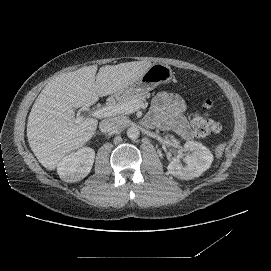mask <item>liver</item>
<instances>
[{
  "label": "liver",
  "instance_id": "obj_1",
  "mask_svg": "<svg viewBox=\"0 0 271 271\" xmlns=\"http://www.w3.org/2000/svg\"><path fill=\"white\" fill-rule=\"evenodd\" d=\"M151 66L149 61L106 65L96 75L97 66L92 65L48 82L27 122L29 146L41 165L54 170L66 154L82 147L95 134L98 120L75 117L74 109L89 107L99 97L121 93Z\"/></svg>",
  "mask_w": 271,
  "mask_h": 271
}]
</instances>
